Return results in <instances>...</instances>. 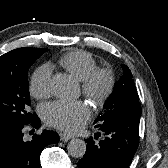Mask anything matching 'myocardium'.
<instances>
[{
	"mask_svg": "<svg viewBox=\"0 0 168 168\" xmlns=\"http://www.w3.org/2000/svg\"><path fill=\"white\" fill-rule=\"evenodd\" d=\"M114 87L115 77L108 68L97 67L82 80L83 94L97 106H102L108 101Z\"/></svg>",
	"mask_w": 168,
	"mask_h": 168,
	"instance_id": "1",
	"label": "myocardium"
}]
</instances>
